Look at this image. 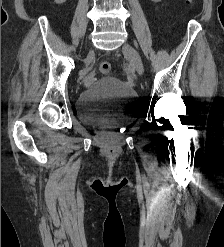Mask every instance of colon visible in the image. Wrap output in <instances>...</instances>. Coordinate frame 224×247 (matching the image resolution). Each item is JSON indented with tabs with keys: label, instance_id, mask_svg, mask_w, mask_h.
Masks as SVG:
<instances>
[{
	"label": "colon",
	"instance_id": "1",
	"mask_svg": "<svg viewBox=\"0 0 224 247\" xmlns=\"http://www.w3.org/2000/svg\"><path fill=\"white\" fill-rule=\"evenodd\" d=\"M191 1L192 0H188V2H191ZM98 70H99L100 74L108 75L111 72L112 67H111V64L108 61H102L99 64Z\"/></svg>",
	"mask_w": 224,
	"mask_h": 247
}]
</instances>
